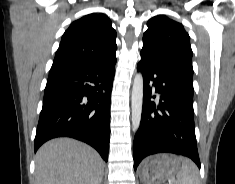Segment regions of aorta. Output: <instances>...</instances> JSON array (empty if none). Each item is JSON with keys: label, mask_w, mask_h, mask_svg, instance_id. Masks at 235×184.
Here are the masks:
<instances>
[{"label": "aorta", "mask_w": 235, "mask_h": 184, "mask_svg": "<svg viewBox=\"0 0 235 184\" xmlns=\"http://www.w3.org/2000/svg\"><path fill=\"white\" fill-rule=\"evenodd\" d=\"M143 106V76L136 74L132 88L131 110H132V126L133 132H137L142 114Z\"/></svg>", "instance_id": "aorta-1"}]
</instances>
